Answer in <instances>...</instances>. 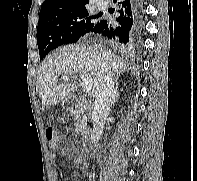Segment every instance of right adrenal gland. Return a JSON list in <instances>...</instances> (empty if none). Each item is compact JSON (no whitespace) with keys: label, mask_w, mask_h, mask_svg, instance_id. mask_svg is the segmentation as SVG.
<instances>
[{"label":"right adrenal gland","mask_w":197,"mask_h":181,"mask_svg":"<svg viewBox=\"0 0 197 181\" xmlns=\"http://www.w3.org/2000/svg\"><path fill=\"white\" fill-rule=\"evenodd\" d=\"M118 96H119V84H118L117 79H116V86H115V90H114V98H113V101H112V105L115 104Z\"/></svg>","instance_id":"right-adrenal-gland-1"}]
</instances>
